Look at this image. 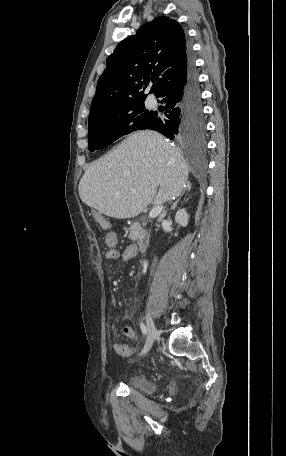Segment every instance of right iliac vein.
Segmentation results:
<instances>
[{"label": "right iliac vein", "mask_w": 286, "mask_h": 456, "mask_svg": "<svg viewBox=\"0 0 286 456\" xmlns=\"http://www.w3.org/2000/svg\"><path fill=\"white\" fill-rule=\"evenodd\" d=\"M146 323H147V339L145 345L140 353V355H145L152 347L155 337L157 335V330L155 324L149 314L146 315Z\"/></svg>", "instance_id": "63e3f726"}]
</instances>
